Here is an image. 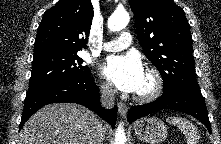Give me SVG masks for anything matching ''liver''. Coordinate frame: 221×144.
Here are the masks:
<instances>
[{"label": "liver", "instance_id": "liver-1", "mask_svg": "<svg viewBox=\"0 0 221 144\" xmlns=\"http://www.w3.org/2000/svg\"><path fill=\"white\" fill-rule=\"evenodd\" d=\"M97 116L73 103L50 104L36 112L23 126L19 144H91ZM102 124V123H101ZM104 134L108 125L102 124Z\"/></svg>", "mask_w": 221, "mask_h": 144}]
</instances>
